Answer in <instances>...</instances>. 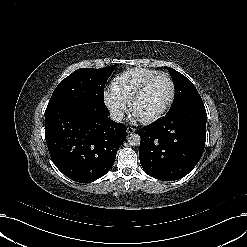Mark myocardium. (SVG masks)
Instances as JSON below:
<instances>
[{"label": "myocardium", "instance_id": "obj_1", "mask_svg": "<svg viewBox=\"0 0 247 247\" xmlns=\"http://www.w3.org/2000/svg\"><path fill=\"white\" fill-rule=\"evenodd\" d=\"M160 77H165L168 80L169 83V94L168 97L164 103V105L161 107L160 110H158L156 113L151 114L149 116L146 117H142L138 114H136L135 112V104L136 102L140 99L141 95L143 94V92L158 78ZM174 92H175V88H174V83L172 81V78L170 77L169 74L165 73V72H159L157 74H155L154 76L150 77L149 79H147L139 88L138 90L134 93V95L132 96V98L129 101V112L130 114L137 118L139 121L143 122V123H151L154 120L160 118L169 108V106L172 103L173 97H174Z\"/></svg>", "mask_w": 247, "mask_h": 247}]
</instances>
